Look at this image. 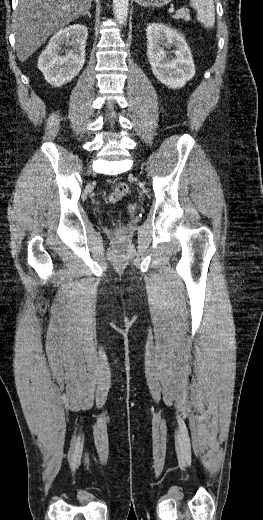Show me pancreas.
Returning a JSON list of instances; mask_svg holds the SVG:
<instances>
[{"mask_svg":"<svg viewBox=\"0 0 263 520\" xmlns=\"http://www.w3.org/2000/svg\"><path fill=\"white\" fill-rule=\"evenodd\" d=\"M175 19H184L185 21H190V15H189V12L188 10H184V9H181L180 11H178L176 13V15L174 16Z\"/></svg>","mask_w":263,"mask_h":520,"instance_id":"cf45deb5","label":"pancreas"}]
</instances>
